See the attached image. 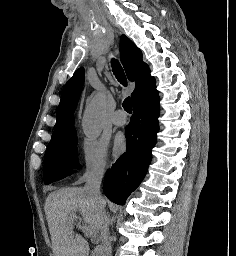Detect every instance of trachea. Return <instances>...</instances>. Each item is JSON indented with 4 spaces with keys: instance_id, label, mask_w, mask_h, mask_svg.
<instances>
[{
    "instance_id": "trachea-1",
    "label": "trachea",
    "mask_w": 236,
    "mask_h": 256,
    "mask_svg": "<svg viewBox=\"0 0 236 256\" xmlns=\"http://www.w3.org/2000/svg\"><path fill=\"white\" fill-rule=\"evenodd\" d=\"M111 64H112V71L114 72V75L116 76L117 80L123 86H127V79H126L124 70L121 67L120 63L117 60L113 59L111 61ZM122 106H123L125 111H127L128 113H131L132 112L131 98L130 97L125 98V100L123 101Z\"/></svg>"
}]
</instances>
